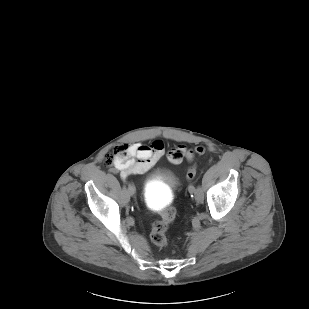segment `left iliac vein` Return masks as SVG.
Wrapping results in <instances>:
<instances>
[{
  "instance_id": "left-iliac-vein-1",
  "label": "left iliac vein",
  "mask_w": 309,
  "mask_h": 309,
  "mask_svg": "<svg viewBox=\"0 0 309 309\" xmlns=\"http://www.w3.org/2000/svg\"><path fill=\"white\" fill-rule=\"evenodd\" d=\"M193 188V186H191L190 190ZM194 195H195V201L198 202V203H201L203 202V199H204V194L202 192V189H196L195 192H194Z\"/></svg>"
}]
</instances>
